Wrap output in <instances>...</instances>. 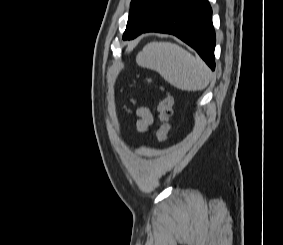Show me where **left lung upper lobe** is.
I'll return each mask as SVG.
<instances>
[{"label": "left lung upper lobe", "mask_w": 283, "mask_h": 245, "mask_svg": "<svg viewBox=\"0 0 283 245\" xmlns=\"http://www.w3.org/2000/svg\"><path fill=\"white\" fill-rule=\"evenodd\" d=\"M173 0H132L124 40L137 37L151 25Z\"/></svg>", "instance_id": "left-lung-upper-lobe-1"}]
</instances>
